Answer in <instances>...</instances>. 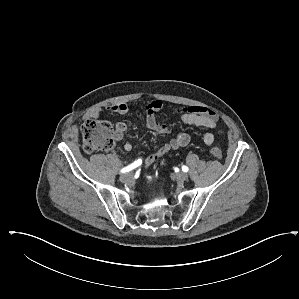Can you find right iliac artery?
<instances>
[{"label": "right iliac artery", "instance_id": "obj_1", "mask_svg": "<svg viewBox=\"0 0 299 299\" xmlns=\"http://www.w3.org/2000/svg\"><path fill=\"white\" fill-rule=\"evenodd\" d=\"M142 164V159H137L136 161H134L132 164L128 165L127 167H124L121 169V173H126L129 172L135 168H137L138 166H140Z\"/></svg>", "mask_w": 299, "mask_h": 299}]
</instances>
